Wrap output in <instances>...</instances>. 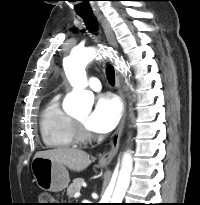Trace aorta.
<instances>
[{
  "label": "aorta",
  "mask_w": 200,
  "mask_h": 205,
  "mask_svg": "<svg viewBox=\"0 0 200 205\" xmlns=\"http://www.w3.org/2000/svg\"><path fill=\"white\" fill-rule=\"evenodd\" d=\"M105 54V51H99L94 47H76L70 55L64 59L63 66L65 74L73 86V91L69 95V105L73 112L88 114L91 111L94 96L91 92L85 90L87 87V78L85 68L95 57ZM122 72L127 73L129 67L124 61H120ZM133 169L132 151L124 153L121 168L118 174L116 186L112 194L105 193L100 203L120 204L126 194L130 184L131 172Z\"/></svg>",
  "instance_id": "1"
}]
</instances>
